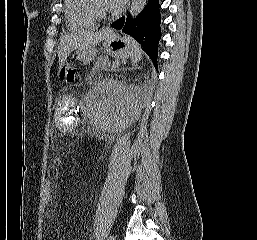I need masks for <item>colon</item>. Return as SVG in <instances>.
Here are the masks:
<instances>
[{
  "label": "colon",
  "instance_id": "5ec220e1",
  "mask_svg": "<svg viewBox=\"0 0 257 240\" xmlns=\"http://www.w3.org/2000/svg\"><path fill=\"white\" fill-rule=\"evenodd\" d=\"M77 74V69L73 63H66L60 72V77L62 81L66 83H72ZM53 200V190L51 181L47 180L44 187V202L45 206L48 207L51 205Z\"/></svg>",
  "mask_w": 257,
  "mask_h": 240
}]
</instances>
